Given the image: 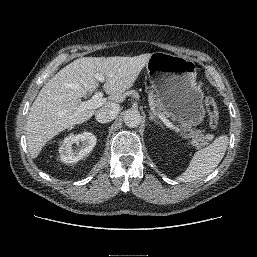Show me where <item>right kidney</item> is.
Instances as JSON below:
<instances>
[{
    "label": "right kidney",
    "instance_id": "obj_1",
    "mask_svg": "<svg viewBox=\"0 0 257 257\" xmlns=\"http://www.w3.org/2000/svg\"><path fill=\"white\" fill-rule=\"evenodd\" d=\"M97 139L91 132L70 135L63 140L59 148L60 159L64 163H74L81 160L96 145ZM76 144L77 146H74Z\"/></svg>",
    "mask_w": 257,
    "mask_h": 257
}]
</instances>
